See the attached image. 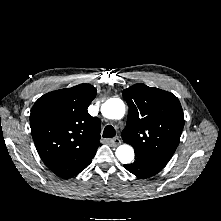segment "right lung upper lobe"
Masks as SVG:
<instances>
[{
    "label": "right lung upper lobe",
    "mask_w": 221,
    "mask_h": 221,
    "mask_svg": "<svg viewBox=\"0 0 221 221\" xmlns=\"http://www.w3.org/2000/svg\"><path fill=\"white\" fill-rule=\"evenodd\" d=\"M96 92L90 84L52 91L40 97L31 109L36 149L57 176L68 179L79 174L101 145L100 120L87 111Z\"/></svg>",
    "instance_id": "obj_1"
}]
</instances>
